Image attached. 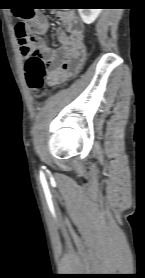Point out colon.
<instances>
[{"label":"colon","instance_id":"1","mask_svg":"<svg viewBox=\"0 0 145 278\" xmlns=\"http://www.w3.org/2000/svg\"><path fill=\"white\" fill-rule=\"evenodd\" d=\"M21 15L24 19L31 17V13L28 10L23 11ZM16 31L21 50L27 53L30 52L33 45V37L30 31L26 28L25 23L20 22L17 25ZM77 71L78 69L75 67L65 65L60 79L54 82V84H62L68 78L76 74ZM48 74V67L43 58L39 55L31 54L28 57L25 66V76L29 88L34 92H39L45 86Z\"/></svg>","mask_w":145,"mask_h":278}]
</instances>
